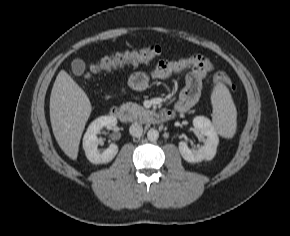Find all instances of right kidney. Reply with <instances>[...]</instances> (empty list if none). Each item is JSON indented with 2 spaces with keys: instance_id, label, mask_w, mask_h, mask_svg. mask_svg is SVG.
Wrapping results in <instances>:
<instances>
[{
  "instance_id": "ca27d5eb",
  "label": "right kidney",
  "mask_w": 290,
  "mask_h": 236,
  "mask_svg": "<svg viewBox=\"0 0 290 236\" xmlns=\"http://www.w3.org/2000/svg\"><path fill=\"white\" fill-rule=\"evenodd\" d=\"M117 124V119L114 116H101L95 119L89 125L83 137V149L87 159L93 164H105L113 160L118 152L116 144L110 146L102 153L98 150L99 140L97 134L103 127L112 129Z\"/></svg>"
}]
</instances>
